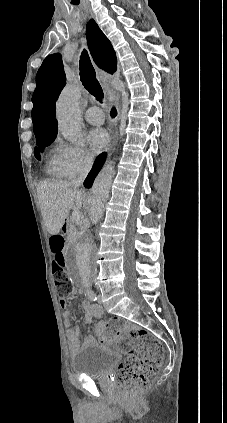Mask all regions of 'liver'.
<instances>
[{
  "label": "liver",
  "mask_w": 227,
  "mask_h": 423,
  "mask_svg": "<svg viewBox=\"0 0 227 423\" xmlns=\"http://www.w3.org/2000/svg\"><path fill=\"white\" fill-rule=\"evenodd\" d=\"M37 194L43 221L51 235L59 233L70 210H80L88 202V194L73 188L71 182L44 180L39 182Z\"/></svg>",
  "instance_id": "liver-1"
}]
</instances>
